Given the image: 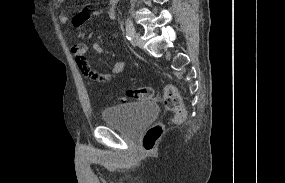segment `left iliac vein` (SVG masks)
<instances>
[{
	"mask_svg": "<svg viewBox=\"0 0 285 183\" xmlns=\"http://www.w3.org/2000/svg\"><path fill=\"white\" fill-rule=\"evenodd\" d=\"M140 42H141V34L138 32L134 33V36L131 41L132 45L137 46L139 45Z\"/></svg>",
	"mask_w": 285,
	"mask_h": 183,
	"instance_id": "left-iliac-vein-1",
	"label": "left iliac vein"
}]
</instances>
